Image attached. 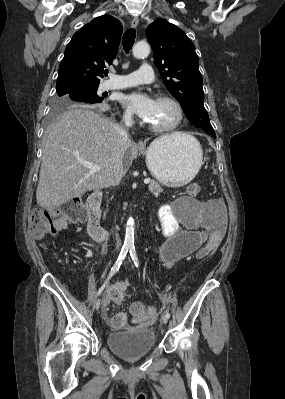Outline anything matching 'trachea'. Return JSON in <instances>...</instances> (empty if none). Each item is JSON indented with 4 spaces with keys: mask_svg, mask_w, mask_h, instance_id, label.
Listing matches in <instances>:
<instances>
[{
    "mask_svg": "<svg viewBox=\"0 0 285 399\" xmlns=\"http://www.w3.org/2000/svg\"><path fill=\"white\" fill-rule=\"evenodd\" d=\"M136 31L135 29H128L123 37H122V45L125 52H129L135 42ZM105 75L108 74V71L104 72Z\"/></svg>",
    "mask_w": 285,
    "mask_h": 399,
    "instance_id": "3493384b",
    "label": "trachea"
}]
</instances>
